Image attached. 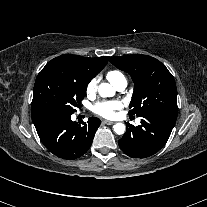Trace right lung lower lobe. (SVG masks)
I'll use <instances>...</instances> for the list:
<instances>
[{"instance_id": "obj_1", "label": "right lung lower lobe", "mask_w": 207, "mask_h": 207, "mask_svg": "<svg viewBox=\"0 0 207 207\" xmlns=\"http://www.w3.org/2000/svg\"><path fill=\"white\" fill-rule=\"evenodd\" d=\"M73 113L58 108L32 111V120L40 140L56 156L74 160L90 148L100 126L98 118H89L83 125L71 120Z\"/></svg>"}]
</instances>
